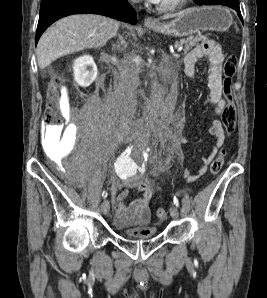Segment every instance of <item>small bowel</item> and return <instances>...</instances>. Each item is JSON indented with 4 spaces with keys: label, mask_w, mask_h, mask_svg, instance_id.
Wrapping results in <instances>:
<instances>
[{
    "label": "small bowel",
    "mask_w": 267,
    "mask_h": 298,
    "mask_svg": "<svg viewBox=\"0 0 267 298\" xmlns=\"http://www.w3.org/2000/svg\"><path fill=\"white\" fill-rule=\"evenodd\" d=\"M204 57H208L210 63L208 76V86L210 89L209 102L213 105L214 111L218 116L212 121L209 133L215 137L216 143L219 145L225 138V129L220 117H222L223 112L227 107V102L223 97L222 91V64L224 55L220 46L211 40L204 41L200 45L196 46L184 58V71L188 77H194L195 65L198 60ZM170 109H173V107ZM213 156L214 153L212 152L209 156L202 159L198 175L189 176V182L195 181L199 176L206 173L207 167L213 159ZM154 170L158 172L160 171V167H155ZM122 184H124L127 188L117 194V191L121 188ZM131 189L140 192L141 197L136 198L127 204L125 201L129 196ZM158 190L159 187L152 182L149 176L145 178L135 176L131 179L125 180L124 182L114 179L111 191L118 222L125 226L139 225L140 227L135 229V232L139 235L151 234L153 229L147 227L151 220L149 201Z\"/></svg>",
    "instance_id": "small-bowel-1"
}]
</instances>
